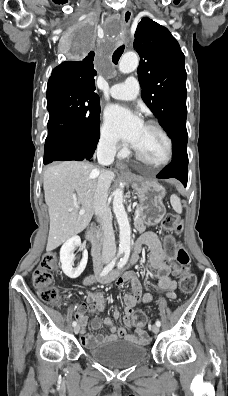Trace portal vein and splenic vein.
Segmentation results:
<instances>
[{
    "instance_id": "obj_1",
    "label": "portal vein and splenic vein",
    "mask_w": 228,
    "mask_h": 396,
    "mask_svg": "<svg viewBox=\"0 0 228 396\" xmlns=\"http://www.w3.org/2000/svg\"><path fill=\"white\" fill-rule=\"evenodd\" d=\"M75 208H79L80 209V211H79L80 215H83L85 213V210H84L83 207H79V206L76 205Z\"/></svg>"
}]
</instances>
